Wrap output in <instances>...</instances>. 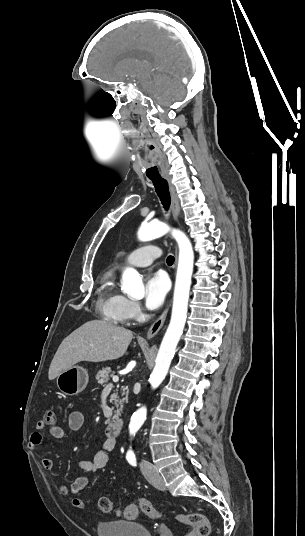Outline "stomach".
<instances>
[{
    "instance_id": "0dacf381",
    "label": "stomach",
    "mask_w": 305,
    "mask_h": 536,
    "mask_svg": "<svg viewBox=\"0 0 305 536\" xmlns=\"http://www.w3.org/2000/svg\"><path fill=\"white\" fill-rule=\"evenodd\" d=\"M88 372L81 366H72L57 376L56 384L65 396H76L83 392L88 384Z\"/></svg>"
}]
</instances>
